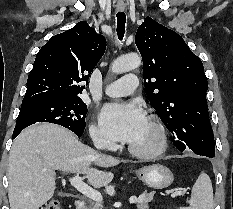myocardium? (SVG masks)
<instances>
[{
	"label": "myocardium",
	"instance_id": "f54148a6",
	"mask_svg": "<svg viewBox=\"0 0 233 209\" xmlns=\"http://www.w3.org/2000/svg\"><path fill=\"white\" fill-rule=\"evenodd\" d=\"M147 120L150 122L157 134V143L154 147L146 150L137 149L131 144L128 145L129 152L138 158H155L162 155L168 145V135L164 125L154 115L148 116Z\"/></svg>",
	"mask_w": 233,
	"mask_h": 209
}]
</instances>
